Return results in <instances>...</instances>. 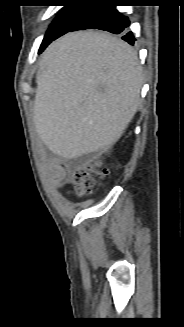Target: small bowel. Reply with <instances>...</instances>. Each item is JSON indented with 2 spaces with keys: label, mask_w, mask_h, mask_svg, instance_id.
Wrapping results in <instances>:
<instances>
[{
  "label": "small bowel",
  "mask_w": 184,
  "mask_h": 327,
  "mask_svg": "<svg viewBox=\"0 0 184 327\" xmlns=\"http://www.w3.org/2000/svg\"><path fill=\"white\" fill-rule=\"evenodd\" d=\"M50 168L53 174L54 182L58 188L62 187L75 169L73 165L60 160L51 161Z\"/></svg>",
  "instance_id": "c3829d8e"
}]
</instances>
